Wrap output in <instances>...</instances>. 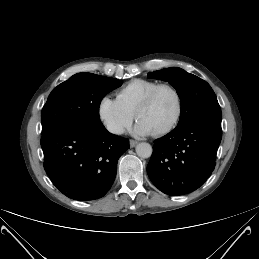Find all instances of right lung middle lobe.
<instances>
[{"instance_id":"right-lung-middle-lobe-1","label":"right lung middle lobe","mask_w":259,"mask_h":259,"mask_svg":"<svg viewBox=\"0 0 259 259\" xmlns=\"http://www.w3.org/2000/svg\"><path fill=\"white\" fill-rule=\"evenodd\" d=\"M121 85L118 79L92 73L71 76L50 93L41 113L42 133L64 125H103L100 102Z\"/></svg>"}]
</instances>
